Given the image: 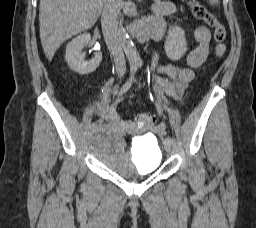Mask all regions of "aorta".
<instances>
[{"label":"aorta","instance_id":"1","mask_svg":"<svg viewBox=\"0 0 256 228\" xmlns=\"http://www.w3.org/2000/svg\"><path fill=\"white\" fill-rule=\"evenodd\" d=\"M123 21V16L120 22ZM120 40L122 47L126 53V56L130 62L131 66H138L142 63L141 57L137 52L136 47L134 46L132 40L130 39L128 33L124 29H120Z\"/></svg>","mask_w":256,"mask_h":228}]
</instances>
